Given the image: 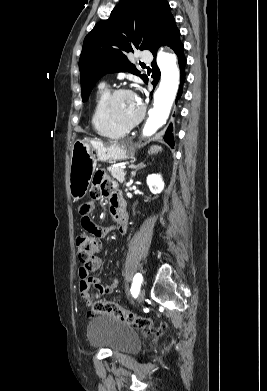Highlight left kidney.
I'll use <instances>...</instances> for the list:
<instances>
[{
	"mask_svg": "<svg viewBox=\"0 0 267 391\" xmlns=\"http://www.w3.org/2000/svg\"><path fill=\"white\" fill-rule=\"evenodd\" d=\"M147 185L153 194H159L164 189V182L160 174L149 175Z\"/></svg>",
	"mask_w": 267,
	"mask_h": 391,
	"instance_id": "left-kidney-1",
	"label": "left kidney"
}]
</instances>
